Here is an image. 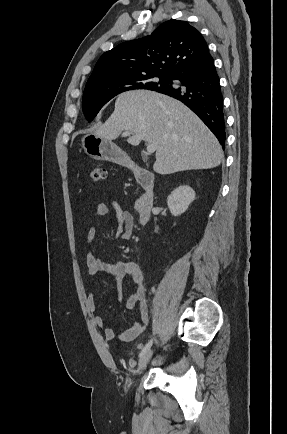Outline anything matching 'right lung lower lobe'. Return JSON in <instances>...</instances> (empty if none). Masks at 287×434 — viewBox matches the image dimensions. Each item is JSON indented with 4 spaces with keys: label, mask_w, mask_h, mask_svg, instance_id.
Listing matches in <instances>:
<instances>
[{
    "label": "right lung lower lobe",
    "mask_w": 287,
    "mask_h": 434,
    "mask_svg": "<svg viewBox=\"0 0 287 434\" xmlns=\"http://www.w3.org/2000/svg\"><path fill=\"white\" fill-rule=\"evenodd\" d=\"M174 79L180 81L179 86L158 92L176 98L188 106L224 147L226 133L223 96L211 55L207 54L198 62L184 68Z\"/></svg>",
    "instance_id": "right-lung-lower-lobe-1"
}]
</instances>
